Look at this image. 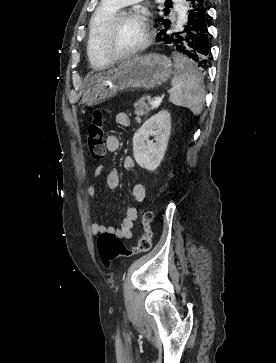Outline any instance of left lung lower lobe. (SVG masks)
Returning <instances> with one entry per match:
<instances>
[{"label": "left lung lower lobe", "instance_id": "obj_1", "mask_svg": "<svg viewBox=\"0 0 276 363\" xmlns=\"http://www.w3.org/2000/svg\"><path fill=\"white\" fill-rule=\"evenodd\" d=\"M187 13L179 22L163 26L156 36L159 43L188 57L201 70L208 64L207 0H187Z\"/></svg>", "mask_w": 276, "mask_h": 363}]
</instances>
